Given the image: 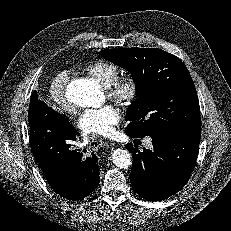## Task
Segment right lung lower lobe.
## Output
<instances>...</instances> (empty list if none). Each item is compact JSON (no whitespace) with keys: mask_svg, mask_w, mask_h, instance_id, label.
<instances>
[{"mask_svg":"<svg viewBox=\"0 0 231 231\" xmlns=\"http://www.w3.org/2000/svg\"><path fill=\"white\" fill-rule=\"evenodd\" d=\"M32 100L29 142L36 162L53 191L68 200L83 199L99 183L97 156L73 147L78 132L66 118L38 100L36 91Z\"/></svg>","mask_w":231,"mask_h":231,"instance_id":"1","label":"right lung lower lobe"}]
</instances>
